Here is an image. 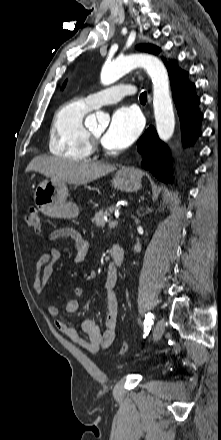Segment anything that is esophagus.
I'll list each match as a JSON object with an SVG mask.
<instances>
[{
    "label": "esophagus",
    "mask_w": 221,
    "mask_h": 440,
    "mask_svg": "<svg viewBox=\"0 0 221 440\" xmlns=\"http://www.w3.org/2000/svg\"><path fill=\"white\" fill-rule=\"evenodd\" d=\"M148 102H151V97L148 95ZM136 170V165H131L125 168V171L134 172Z\"/></svg>",
    "instance_id": "obj_1"
}]
</instances>
